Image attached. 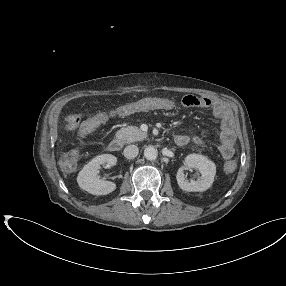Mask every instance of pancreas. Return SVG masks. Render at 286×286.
<instances>
[{"mask_svg":"<svg viewBox=\"0 0 286 286\" xmlns=\"http://www.w3.org/2000/svg\"><path fill=\"white\" fill-rule=\"evenodd\" d=\"M115 136L116 139L120 140L123 144H129L144 140L147 137V133L141 131L136 126H126L118 130Z\"/></svg>","mask_w":286,"mask_h":286,"instance_id":"1","label":"pancreas"}]
</instances>
